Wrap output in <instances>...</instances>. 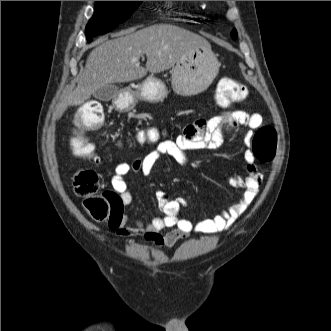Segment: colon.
I'll return each mask as SVG.
<instances>
[{"label":"colon","mask_w":331,"mask_h":331,"mask_svg":"<svg viewBox=\"0 0 331 331\" xmlns=\"http://www.w3.org/2000/svg\"><path fill=\"white\" fill-rule=\"evenodd\" d=\"M247 95V90L241 83L223 78L217 88L216 99L220 106L228 107L242 101ZM105 120L102 106L97 101H89L75 114L74 122L78 130L95 131L100 129ZM160 133L155 128H149L139 133L141 142H156ZM277 145V132L271 125L259 127L252 139V152L261 162L270 161ZM74 153L83 158L93 156V147L86 143L78 132L72 138ZM74 189L77 195L83 198V205L92 218L98 221L110 219L114 211H119L122 206L119 196L112 191H99L98 176L90 169L79 170L74 177Z\"/></svg>","instance_id":"obj_1"}]
</instances>
